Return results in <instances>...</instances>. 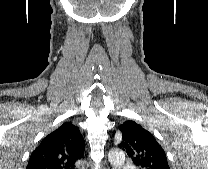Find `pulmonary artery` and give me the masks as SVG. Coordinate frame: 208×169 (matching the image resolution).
<instances>
[{
  "label": "pulmonary artery",
  "mask_w": 208,
  "mask_h": 169,
  "mask_svg": "<svg viewBox=\"0 0 208 169\" xmlns=\"http://www.w3.org/2000/svg\"><path fill=\"white\" fill-rule=\"evenodd\" d=\"M121 168H124V169H136V167H131V166H121Z\"/></svg>",
  "instance_id": "e3ab8cb5"
}]
</instances>
